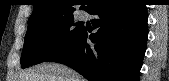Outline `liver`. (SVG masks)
Here are the masks:
<instances>
[{
  "instance_id": "6515ba94",
  "label": "liver",
  "mask_w": 169,
  "mask_h": 81,
  "mask_svg": "<svg viewBox=\"0 0 169 81\" xmlns=\"http://www.w3.org/2000/svg\"><path fill=\"white\" fill-rule=\"evenodd\" d=\"M19 81H85V79L63 64L44 62L21 73Z\"/></svg>"
}]
</instances>
